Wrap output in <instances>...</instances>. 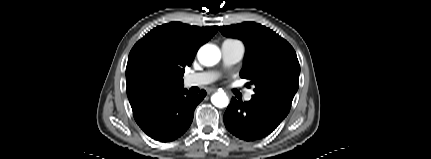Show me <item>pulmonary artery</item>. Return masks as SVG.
Instances as JSON below:
<instances>
[{"mask_svg": "<svg viewBox=\"0 0 431 159\" xmlns=\"http://www.w3.org/2000/svg\"><path fill=\"white\" fill-rule=\"evenodd\" d=\"M221 53L224 65L229 67L243 59L245 47L243 43L238 40L227 39L221 45ZM217 77L218 75L211 71L195 73L185 78V85L187 87L207 85L215 81ZM252 94L253 92L249 91L244 96L245 101H250Z\"/></svg>", "mask_w": 431, "mask_h": 159, "instance_id": "1", "label": "pulmonary artery"}]
</instances>
